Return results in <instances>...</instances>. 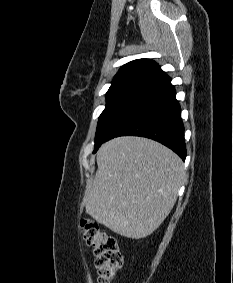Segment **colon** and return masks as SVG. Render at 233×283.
<instances>
[{
    "mask_svg": "<svg viewBox=\"0 0 233 283\" xmlns=\"http://www.w3.org/2000/svg\"><path fill=\"white\" fill-rule=\"evenodd\" d=\"M80 228L86 243L93 247L98 283H111L123 262L116 239L90 219L82 220Z\"/></svg>",
    "mask_w": 233,
    "mask_h": 283,
    "instance_id": "5ec220e1",
    "label": "colon"
}]
</instances>
